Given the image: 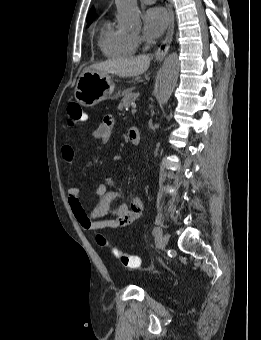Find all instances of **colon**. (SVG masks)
<instances>
[{
    "label": "colon",
    "mask_w": 261,
    "mask_h": 340,
    "mask_svg": "<svg viewBox=\"0 0 261 340\" xmlns=\"http://www.w3.org/2000/svg\"><path fill=\"white\" fill-rule=\"evenodd\" d=\"M86 116L82 107L77 103H70L67 106V124L71 127L77 126L85 120ZM97 244L101 247H109V243L105 236L98 234L95 237ZM112 254L119 260V262L128 269H136L140 266V258L138 256L130 255L122 252L117 248H112Z\"/></svg>",
    "instance_id": "5ec220e1"
}]
</instances>
